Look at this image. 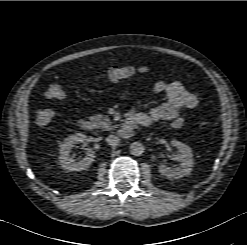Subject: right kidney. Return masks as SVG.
Wrapping results in <instances>:
<instances>
[{"mask_svg": "<svg viewBox=\"0 0 247 245\" xmlns=\"http://www.w3.org/2000/svg\"><path fill=\"white\" fill-rule=\"evenodd\" d=\"M86 136L82 133H76L70 135L64 140L60 146L59 152V162L62 169L65 171H81L88 168L94 161L95 153L91 148H86L85 157L79 161L75 162L69 157L71 149L78 143H84Z\"/></svg>", "mask_w": 247, "mask_h": 245, "instance_id": "right-kidney-1", "label": "right kidney"}]
</instances>
